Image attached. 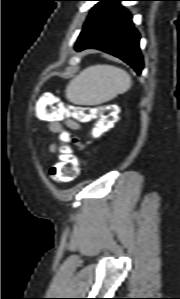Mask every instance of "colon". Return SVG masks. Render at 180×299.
<instances>
[{"mask_svg": "<svg viewBox=\"0 0 180 299\" xmlns=\"http://www.w3.org/2000/svg\"><path fill=\"white\" fill-rule=\"evenodd\" d=\"M71 112L75 119L82 122H90L98 118L102 119L93 129V137H98L103 134L109 118L114 119L115 117V112L111 107L74 106ZM46 115L51 119H59L65 114L61 110L59 103L54 102L47 108ZM79 170L80 167L78 161L68 153V148L64 146L56 157L55 163L49 172V176L56 182L68 183L77 178Z\"/></svg>", "mask_w": 180, "mask_h": 299, "instance_id": "5ec220e1", "label": "colon"}]
</instances>
